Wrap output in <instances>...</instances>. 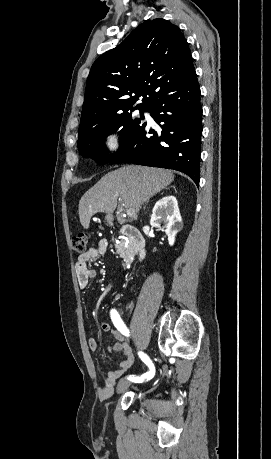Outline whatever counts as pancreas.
Returning <instances> with one entry per match:
<instances>
[{
  "label": "pancreas",
  "instance_id": "1",
  "mask_svg": "<svg viewBox=\"0 0 271 459\" xmlns=\"http://www.w3.org/2000/svg\"><path fill=\"white\" fill-rule=\"evenodd\" d=\"M125 243V239H121L120 243L116 245V251L117 253H120V257H124V259H127V257H130L132 249H130L129 245L128 247H126Z\"/></svg>",
  "mask_w": 271,
  "mask_h": 459
}]
</instances>
